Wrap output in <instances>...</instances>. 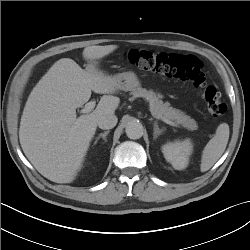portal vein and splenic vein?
Instances as JSON below:
<instances>
[{
  "instance_id": "1",
  "label": "portal vein and splenic vein",
  "mask_w": 250,
  "mask_h": 250,
  "mask_svg": "<svg viewBox=\"0 0 250 250\" xmlns=\"http://www.w3.org/2000/svg\"><path fill=\"white\" fill-rule=\"evenodd\" d=\"M95 105H96L95 101H89L87 104H85V107H84V109L81 110V113H84V114L90 113L94 109ZM158 119H161L163 122H165L171 126H177L174 122H172L171 120L166 119L164 117L159 116Z\"/></svg>"
}]
</instances>
